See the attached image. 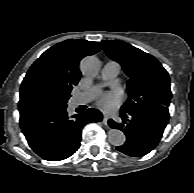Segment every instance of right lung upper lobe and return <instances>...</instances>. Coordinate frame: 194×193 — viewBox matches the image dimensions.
Segmentation results:
<instances>
[{
	"mask_svg": "<svg viewBox=\"0 0 194 193\" xmlns=\"http://www.w3.org/2000/svg\"><path fill=\"white\" fill-rule=\"evenodd\" d=\"M100 48L99 42L82 39H69L52 46L28 70L21 84L19 104L34 99L43 90L71 91L80 80V60Z\"/></svg>",
	"mask_w": 194,
	"mask_h": 193,
	"instance_id": "right-lung-upper-lobe-1",
	"label": "right lung upper lobe"
}]
</instances>
